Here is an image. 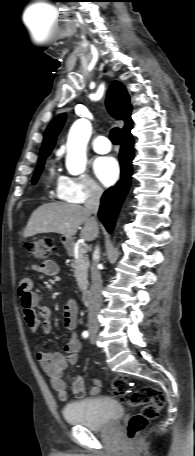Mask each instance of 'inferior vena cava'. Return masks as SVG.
I'll return each mask as SVG.
<instances>
[{"mask_svg":"<svg viewBox=\"0 0 195 456\" xmlns=\"http://www.w3.org/2000/svg\"><path fill=\"white\" fill-rule=\"evenodd\" d=\"M103 194V189L97 185H94L90 189V194L85 202V209L90 213L96 215L100 205V198ZM92 220L96 222V218L92 217ZM100 249L96 246L92 265H91V296L88 306V323L90 327L98 328V315L102 304V279L99 272V261H100Z\"/></svg>","mask_w":195,"mask_h":456,"instance_id":"1","label":"inferior vena cava"}]
</instances>
